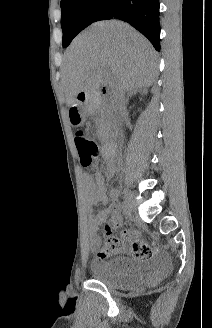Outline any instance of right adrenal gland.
I'll return each instance as SVG.
<instances>
[{
  "instance_id": "obj_1",
  "label": "right adrenal gland",
  "mask_w": 212,
  "mask_h": 328,
  "mask_svg": "<svg viewBox=\"0 0 212 328\" xmlns=\"http://www.w3.org/2000/svg\"><path fill=\"white\" fill-rule=\"evenodd\" d=\"M142 92L144 93L145 91H143L142 89H135V90L130 91V93L128 94L126 103H128L129 98H131L133 95H136L137 93H142Z\"/></svg>"
}]
</instances>
